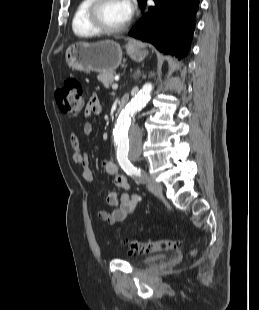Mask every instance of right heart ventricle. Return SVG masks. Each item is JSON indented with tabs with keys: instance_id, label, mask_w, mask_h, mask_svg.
Instances as JSON below:
<instances>
[{
	"instance_id": "1",
	"label": "right heart ventricle",
	"mask_w": 259,
	"mask_h": 310,
	"mask_svg": "<svg viewBox=\"0 0 259 310\" xmlns=\"http://www.w3.org/2000/svg\"><path fill=\"white\" fill-rule=\"evenodd\" d=\"M92 0H80L72 18V30L78 37L87 38L97 33L87 22V10Z\"/></svg>"
}]
</instances>
